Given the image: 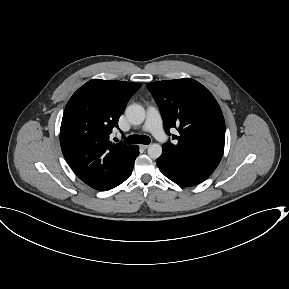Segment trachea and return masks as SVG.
Returning <instances> with one entry per match:
<instances>
[{"instance_id": "trachea-1", "label": "trachea", "mask_w": 289, "mask_h": 289, "mask_svg": "<svg viewBox=\"0 0 289 289\" xmlns=\"http://www.w3.org/2000/svg\"><path fill=\"white\" fill-rule=\"evenodd\" d=\"M128 144H150V138L146 135H131L125 139Z\"/></svg>"}]
</instances>
